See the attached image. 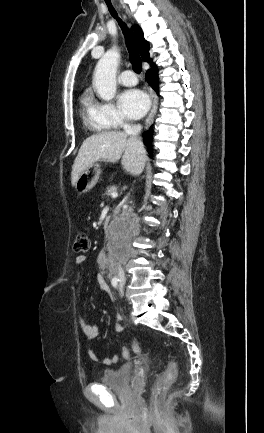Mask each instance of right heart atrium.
<instances>
[{"label":"right heart atrium","mask_w":264,"mask_h":433,"mask_svg":"<svg viewBox=\"0 0 264 433\" xmlns=\"http://www.w3.org/2000/svg\"><path fill=\"white\" fill-rule=\"evenodd\" d=\"M96 114L109 127H120L127 123L123 114L111 102H95Z\"/></svg>","instance_id":"d8ad5b80"}]
</instances>
